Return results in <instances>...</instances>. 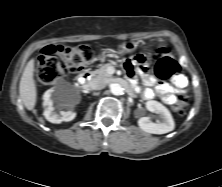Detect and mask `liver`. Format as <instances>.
I'll return each mask as SVG.
<instances>
[{"mask_svg":"<svg viewBox=\"0 0 222 187\" xmlns=\"http://www.w3.org/2000/svg\"><path fill=\"white\" fill-rule=\"evenodd\" d=\"M34 59H31L22 74L19 84V94L24 106L28 110H33L36 104V85L33 78Z\"/></svg>","mask_w":222,"mask_h":187,"instance_id":"obj_1","label":"liver"}]
</instances>
